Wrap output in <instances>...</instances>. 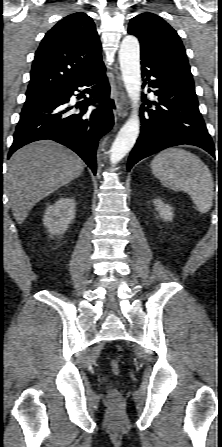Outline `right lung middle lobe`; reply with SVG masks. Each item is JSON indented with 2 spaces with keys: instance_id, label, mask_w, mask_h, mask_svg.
Masks as SVG:
<instances>
[{
  "instance_id": "right-lung-middle-lobe-1",
  "label": "right lung middle lobe",
  "mask_w": 222,
  "mask_h": 447,
  "mask_svg": "<svg viewBox=\"0 0 222 447\" xmlns=\"http://www.w3.org/2000/svg\"><path fill=\"white\" fill-rule=\"evenodd\" d=\"M54 97L55 96L26 98L25 105H24L23 109H29V108L38 106L40 104L50 101Z\"/></svg>"
}]
</instances>
